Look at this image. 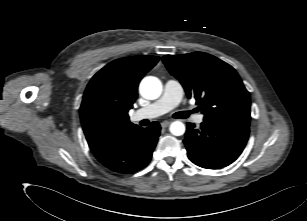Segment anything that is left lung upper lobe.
<instances>
[{
    "label": "left lung upper lobe",
    "mask_w": 307,
    "mask_h": 221,
    "mask_svg": "<svg viewBox=\"0 0 307 221\" xmlns=\"http://www.w3.org/2000/svg\"><path fill=\"white\" fill-rule=\"evenodd\" d=\"M169 72L194 97L204 121L249 127L250 95L233 67L204 52L166 55Z\"/></svg>",
    "instance_id": "left-lung-upper-lobe-1"
}]
</instances>
